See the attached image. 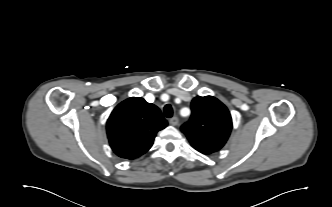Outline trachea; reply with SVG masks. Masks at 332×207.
Returning <instances> with one entry per match:
<instances>
[{
    "label": "trachea",
    "mask_w": 332,
    "mask_h": 207,
    "mask_svg": "<svg viewBox=\"0 0 332 207\" xmlns=\"http://www.w3.org/2000/svg\"><path fill=\"white\" fill-rule=\"evenodd\" d=\"M164 113H165L166 117H168V118L172 117V115H173V109H172V106L170 104L165 105V107H164Z\"/></svg>",
    "instance_id": "1"
}]
</instances>
